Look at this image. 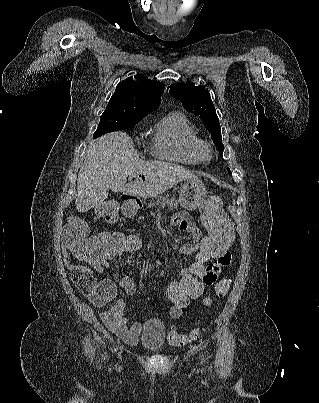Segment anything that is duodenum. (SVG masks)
Wrapping results in <instances>:
<instances>
[{
    "instance_id": "duodenum-1",
    "label": "duodenum",
    "mask_w": 319,
    "mask_h": 403,
    "mask_svg": "<svg viewBox=\"0 0 319 403\" xmlns=\"http://www.w3.org/2000/svg\"><path fill=\"white\" fill-rule=\"evenodd\" d=\"M123 212L126 216L132 215V213L141 206V202L134 197L123 195Z\"/></svg>"
}]
</instances>
